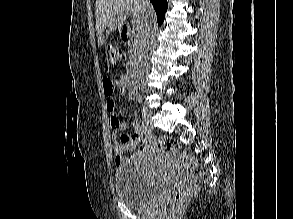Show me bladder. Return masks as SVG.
I'll return each mask as SVG.
<instances>
[{
	"label": "bladder",
	"mask_w": 293,
	"mask_h": 219,
	"mask_svg": "<svg viewBox=\"0 0 293 219\" xmlns=\"http://www.w3.org/2000/svg\"><path fill=\"white\" fill-rule=\"evenodd\" d=\"M161 155L167 156L165 152ZM165 179L151 180L133 165L120 166L114 175L115 193L119 200L131 207H144L163 192Z\"/></svg>",
	"instance_id": "1"
}]
</instances>
